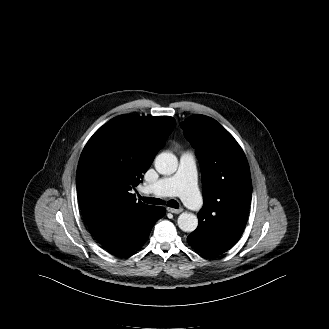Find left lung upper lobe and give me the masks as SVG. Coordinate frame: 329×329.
<instances>
[{"instance_id":"left-lung-upper-lobe-1","label":"left lung upper lobe","mask_w":329,"mask_h":329,"mask_svg":"<svg viewBox=\"0 0 329 329\" xmlns=\"http://www.w3.org/2000/svg\"><path fill=\"white\" fill-rule=\"evenodd\" d=\"M201 164L204 206L199 225L223 229L229 222H246L252 184L246 156L216 120L193 115L180 123Z\"/></svg>"}]
</instances>
